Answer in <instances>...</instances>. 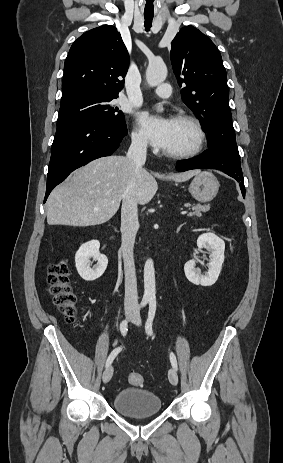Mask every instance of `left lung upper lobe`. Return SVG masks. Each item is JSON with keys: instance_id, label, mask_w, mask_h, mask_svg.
Returning <instances> with one entry per match:
<instances>
[{"instance_id": "1", "label": "left lung upper lobe", "mask_w": 283, "mask_h": 463, "mask_svg": "<svg viewBox=\"0 0 283 463\" xmlns=\"http://www.w3.org/2000/svg\"><path fill=\"white\" fill-rule=\"evenodd\" d=\"M171 62L181 96L201 120L210 147L239 156L231 110L227 74L214 43L193 26L180 29L172 41Z\"/></svg>"}]
</instances>
